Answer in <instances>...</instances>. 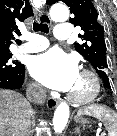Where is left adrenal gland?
<instances>
[{"label":"left adrenal gland","mask_w":117,"mask_h":136,"mask_svg":"<svg viewBox=\"0 0 117 136\" xmlns=\"http://www.w3.org/2000/svg\"><path fill=\"white\" fill-rule=\"evenodd\" d=\"M74 133L77 134L78 136H80V128L77 127V128L75 129Z\"/></svg>","instance_id":"a2214340"}]
</instances>
